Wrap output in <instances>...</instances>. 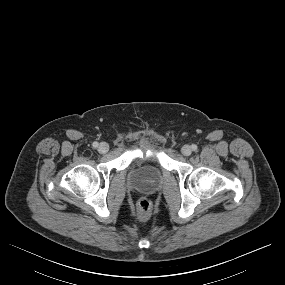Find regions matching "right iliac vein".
Listing matches in <instances>:
<instances>
[{
  "instance_id": "obj_1",
  "label": "right iliac vein",
  "mask_w": 285,
  "mask_h": 285,
  "mask_svg": "<svg viewBox=\"0 0 285 285\" xmlns=\"http://www.w3.org/2000/svg\"><path fill=\"white\" fill-rule=\"evenodd\" d=\"M109 150V145L106 142H102L100 143V145L98 146V151L101 154L107 153Z\"/></svg>"
}]
</instances>
